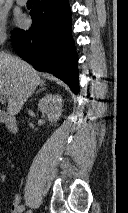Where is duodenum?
I'll return each instance as SVG.
<instances>
[{
    "label": "duodenum",
    "instance_id": "obj_1",
    "mask_svg": "<svg viewBox=\"0 0 128 213\" xmlns=\"http://www.w3.org/2000/svg\"><path fill=\"white\" fill-rule=\"evenodd\" d=\"M0 123H2L10 133L15 134L18 131V123L15 117L1 110Z\"/></svg>",
    "mask_w": 128,
    "mask_h": 213
}]
</instances>
